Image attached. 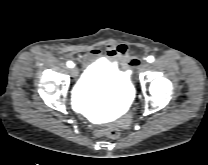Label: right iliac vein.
Masks as SVG:
<instances>
[{"instance_id": "obj_1", "label": "right iliac vein", "mask_w": 208, "mask_h": 165, "mask_svg": "<svg viewBox=\"0 0 208 165\" xmlns=\"http://www.w3.org/2000/svg\"><path fill=\"white\" fill-rule=\"evenodd\" d=\"M70 73H71V76L72 77H74V78H76L77 76H78V69L76 68V67H73L72 69H71V71H70Z\"/></svg>"}]
</instances>
